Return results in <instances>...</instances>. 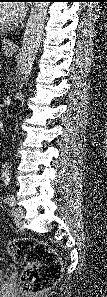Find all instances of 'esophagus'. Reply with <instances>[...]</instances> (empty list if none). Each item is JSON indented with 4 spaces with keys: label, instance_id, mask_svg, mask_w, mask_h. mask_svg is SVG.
<instances>
[{
    "label": "esophagus",
    "instance_id": "obj_1",
    "mask_svg": "<svg viewBox=\"0 0 107 297\" xmlns=\"http://www.w3.org/2000/svg\"><path fill=\"white\" fill-rule=\"evenodd\" d=\"M7 47H8V48H14L15 45L11 42V43H8V44H7Z\"/></svg>",
    "mask_w": 107,
    "mask_h": 297
}]
</instances>
